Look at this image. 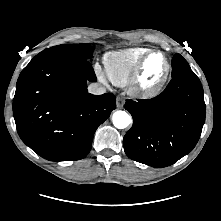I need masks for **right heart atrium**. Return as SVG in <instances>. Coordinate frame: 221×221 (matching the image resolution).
<instances>
[{
    "mask_svg": "<svg viewBox=\"0 0 221 221\" xmlns=\"http://www.w3.org/2000/svg\"><path fill=\"white\" fill-rule=\"evenodd\" d=\"M94 71H95V74L97 75V77L102 80V81H106V74L105 72L101 69V67L96 64L94 66Z\"/></svg>",
    "mask_w": 221,
    "mask_h": 221,
    "instance_id": "d8ad5b80",
    "label": "right heart atrium"
}]
</instances>
